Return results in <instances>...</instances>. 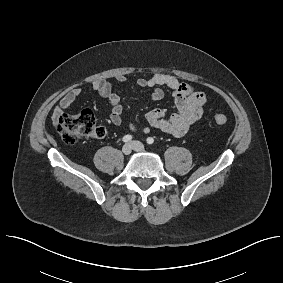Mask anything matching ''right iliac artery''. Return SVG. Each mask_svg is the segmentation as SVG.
Returning a JSON list of instances; mask_svg holds the SVG:
<instances>
[{"label":"right iliac artery","mask_w":283,"mask_h":283,"mask_svg":"<svg viewBox=\"0 0 283 283\" xmlns=\"http://www.w3.org/2000/svg\"><path fill=\"white\" fill-rule=\"evenodd\" d=\"M131 139H132V136L131 135H125L124 137H123V142H129V141H131Z\"/></svg>","instance_id":"1"}]
</instances>
